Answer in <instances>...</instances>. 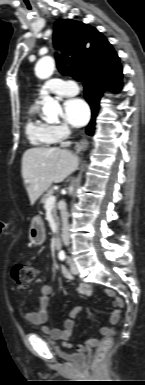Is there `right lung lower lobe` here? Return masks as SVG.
<instances>
[{
  "label": "right lung lower lobe",
  "instance_id": "1",
  "mask_svg": "<svg viewBox=\"0 0 145 385\" xmlns=\"http://www.w3.org/2000/svg\"><path fill=\"white\" fill-rule=\"evenodd\" d=\"M84 97L92 110V119L87 126L86 133L93 135L95 119L99 109V101L103 91L108 89L118 92L122 87V67L117 62L108 69L88 73L83 76Z\"/></svg>",
  "mask_w": 145,
  "mask_h": 385
}]
</instances>
